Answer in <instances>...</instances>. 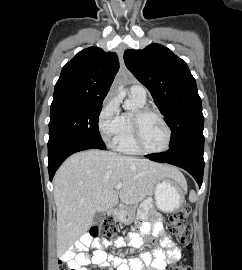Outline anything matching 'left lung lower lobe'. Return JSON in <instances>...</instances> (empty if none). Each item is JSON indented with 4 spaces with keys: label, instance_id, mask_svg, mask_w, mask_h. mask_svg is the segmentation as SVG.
<instances>
[{
    "label": "left lung lower lobe",
    "instance_id": "left-lung-lower-lobe-1",
    "mask_svg": "<svg viewBox=\"0 0 242 270\" xmlns=\"http://www.w3.org/2000/svg\"><path fill=\"white\" fill-rule=\"evenodd\" d=\"M204 137L189 140L163 154L146 155L152 161L169 163L188 171L201 187L204 171Z\"/></svg>",
    "mask_w": 242,
    "mask_h": 270
}]
</instances>
